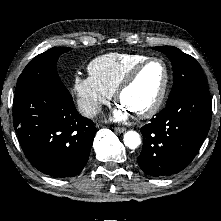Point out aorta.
Masks as SVG:
<instances>
[{
  "instance_id": "1",
  "label": "aorta",
  "mask_w": 221,
  "mask_h": 221,
  "mask_svg": "<svg viewBox=\"0 0 221 221\" xmlns=\"http://www.w3.org/2000/svg\"><path fill=\"white\" fill-rule=\"evenodd\" d=\"M123 141L125 146H127L130 149H135L140 145L141 138L136 131L130 130L124 134Z\"/></svg>"
}]
</instances>
